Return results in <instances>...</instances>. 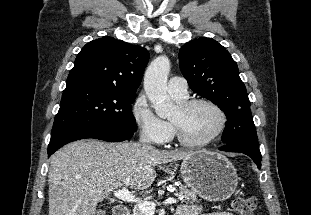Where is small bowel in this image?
I'll return each mask as SVG.
<instances>
[{
  "mask_svg": "<svg viewBox=\"0 0 311 215\" xmlns=\"http://www.w3.org/2000/svg\"><path fill=\"white\" fill-rule=\"evenodd\" d=\"M175 215H233L228 212H203L200 206L181 205Z\"/></svg>",
  "mask_w": 311,
  "mask_h": 215,
  "instance_id": "obj_1",
  "label": "small bowel"
}]
</instances>
